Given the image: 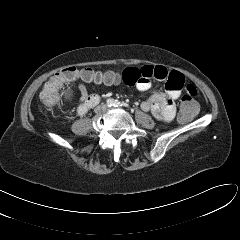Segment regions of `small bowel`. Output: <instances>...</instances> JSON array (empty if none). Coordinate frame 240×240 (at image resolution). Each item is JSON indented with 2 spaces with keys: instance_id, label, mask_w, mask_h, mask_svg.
<instances>
[{
  "instance_id": "small-bowel-1",
  "label": "small bowel",
  "mask_w": 240,
  "mask_h": 240,
  "mask_svg": "<svg viewBox=\"0 0 240 240\" xmlns=\"http://www.w3.org/2000/svg\"><path fill=\"white\" fill-rule=\"evenodd\" d=\"M151 79L165 81V92H156L142 102L141 109L151 112L158 120L170 122L176 113L175 101L183 90L194 96L197 89L186 82L185 77L178 71H170L164 66L145 65L142 67L126 68L120 75L113 72L100 74L92 82L111 86L123 83L128 86H136L140 91H147L151 87ZM88 82V81H86ZM80 93L79 102L83 104L90 96L84 84H74Z\"/></svg>"
}]
</instances>
